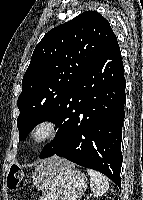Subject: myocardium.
Returning <instances> with one entry per match:
<instances>
[{"label":"myocardium","mask_w":143,"mask_h":200,"mask_svg":"<svg viewBox=\"0 0 143 200\" xmlns=\"http://www.w3.org/2000/svg\"><path fill=\"white\" fill-rule=\"evenodd\" d=\"M59 125L51 118H44L36 122L29 132V141L36 146L50 142L58 133Z\"/></svg>","instance_id":"f54148a6"}]
</instances>
